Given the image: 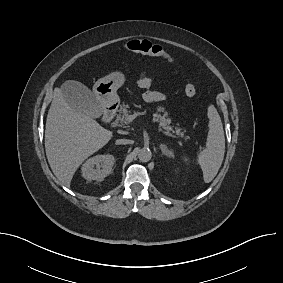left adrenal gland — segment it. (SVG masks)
Listing matches in <instances>:
<instances>
[{
    "label": "left adrenal gland",
    "instance_id": "obj_1",
    "mask_svg": "<svg viewBox=\"0 0 283 283\" xmlns=\"http://www.w3.org/2000/svg\"><path fill=\"white\" fill-rule=\"evenodd\" d=\"M159 147H160L163 155H165V156H167L169 158H173L172 151H170L165 144H160Z\"/></svg>",
    "mask_w": 283,
    "mask_h": 283
}]
</instances>
